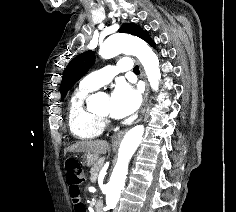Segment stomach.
<instances>
[{
    "mask_svg": "<svg viewBox=\"0 0 236 212\" xmlns=\"http://www.w3.org/2000/svg\"><path fill=\"white\" fill-rule=\"evenodd\" d=\"M97 161H98V157H97V156H94V155H91V154H88V153H84V154L82 155V164H83L84 166L91 167V166H93Z\"/></svg>",
    "mask_w": 236,
    "mask_h": 212,
    "instance_id": "stomach-1",
    "label": "stomach"
}]
</instances>
